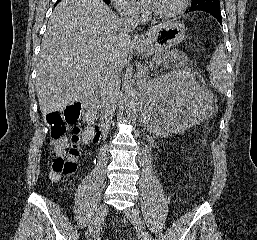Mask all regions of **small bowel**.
Returning <instances> with one entry per match:
<instances>
[{
  "label": "small bowel",
  "mask_w": 257,
  "mask_h": 240,
  "mask_svg": "<svg viewBox=\"0 0 257 240\" xmlns=\"http://www.w3.org/2000/svg\"><path fill=\"white\" fill-rule=\"evenodd\" d=\"M50 145L52 146L56 155L64 154L67 147L68 141L66 138H61L57 140H52Z\"/></svg>",
  "instance_id": "c3829d8e"
}]
</instances>
